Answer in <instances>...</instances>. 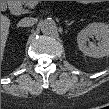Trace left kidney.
<instances>
[{
  "label": "left kidney",
  "mask_w": 109,
  "mask_h": 109,
  "mask_svg": "<svg viewBox=\"0 0 109 109\" xmlns=\"http://www.w3.org/2000/svg\"><path fill=\"white\" fill-rule=\"evenodd\" d=\"M95 37L97 45L89 42V38ZM79 50L85 55L94 58H102L109 54V27L104 23H91L82 29L77 35Z\"/></svg>",
  "instance_id": "left-kidney-1"
}]
</instances>
